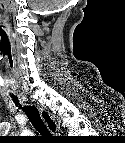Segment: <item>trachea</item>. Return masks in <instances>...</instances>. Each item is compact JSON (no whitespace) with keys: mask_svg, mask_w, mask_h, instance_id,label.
Masks as SVG:
<instances>
[{"mask_svg":"<svg viewBox=\"0 0 125 143\" xmlns=\"http://www.w3.org/2000/svg\"><path fill=\"white\" fill-rule=\"evenodd\" d=\"M13 100L17 106L21 107L18 99L15 96H13ZM23 111L27 115L29 121L32 123L34 128L42 136L49 137V138L53 137L50 131L48 130L47 126L45 125L44 121L42 120L37 108H35L34 106H26V107H23Z\"/></svg>","mask_w":125,"mask_h":143,"instance_id":"trachea-1","label":"trachea"}]
</instances>
